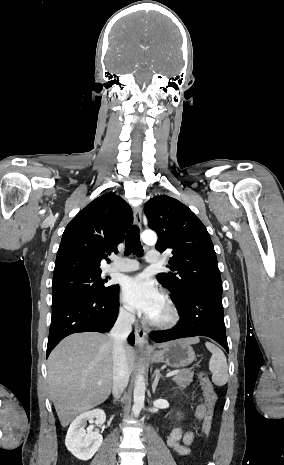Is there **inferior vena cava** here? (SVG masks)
<instances>
[{
  "mask_svg": "<svg viewBox=\"0 0 284 465\" xmlns=\"http://www.w3.org/2000/svg\"><path fill=\"white\" fill-rule=\"evenodd\" d=\"M135 321V315L132 313H125V315H119L109 337L114 339L113 349V361H114V373H113V395L115 399H119L124 389H126L129 383V369L127 365V359L125 355V343L128 335L132 331V325Z\"/></svg>",
  "mask_w": 284,
  "mask_h": 465,
  "instance_id": "inferior-vena-cava-1",
  "label": "inferior vena cava"
}]
</instances>
